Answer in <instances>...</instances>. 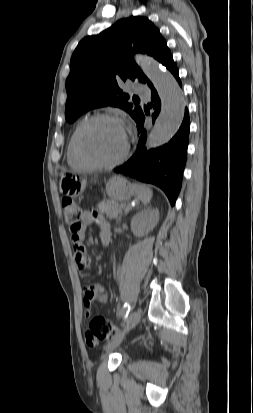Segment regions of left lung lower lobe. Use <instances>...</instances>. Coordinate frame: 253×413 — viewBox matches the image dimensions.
Masks as SVG:
<instances>
[{"label":"left lung lower lobe","instance_id":"1","mask_svg":"<svg viewBox=\"0 0 253 413\" xmlns=\"http://www.w3.org/2000/svg\"><path fill=\"white\" fill-rule=\"evenodd\" d=\"M165 67L173 74L181 86L179 73L172 56L168 59ZM151 100L149 107H153V122L157 118L161 109V100L151 84ZM145 114L142 111L135 120L138 125L140 135L138 151L125 164L116 167L114 171L136 178L146 183L159 186L169 198L171 205L175 204L181 189L183 171L187 159L188 137L190 120L187 108L183 122L175 136L165 145L151 149L144 148L146 130L144 129Z\"/></svg>","mask_w":253,"mask_h":413}]
</instances>
